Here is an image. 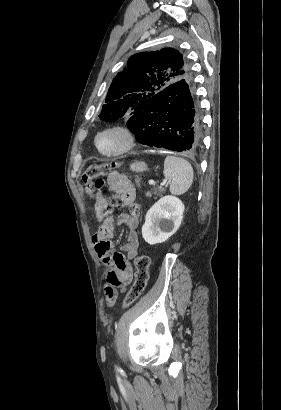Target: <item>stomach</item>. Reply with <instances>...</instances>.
Returning a JSON list of instances; mask_svg holds the SVG:
<instances>
[{
    "label": "stomach",
    "mask_w": 281,
    "mask_h": 410,
    "mask_svg": "<svg viewBox=\"0 0 281 410\" xmlns=\"http://www.w3.org/2000/svg\"><path fill=\"white\" fill-rule=\"evenodd\" d=\"M131 170L135 172H143L147 170V165L145 162H135L131 164Z\"/></svg>",
    "instance_id": "stomach-1"
}]
</instances>
